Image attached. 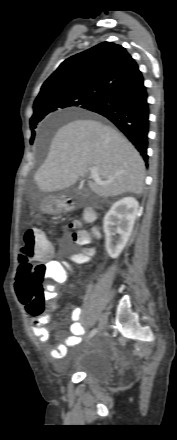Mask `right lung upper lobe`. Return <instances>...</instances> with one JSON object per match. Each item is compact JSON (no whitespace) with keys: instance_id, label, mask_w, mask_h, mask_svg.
<instances>
[{"instance_id":"right-lung-upper-lobe-1","label":"right lung upper lobe","mask_w":177,"mask_h":440,"mask_svg":"<svg viewBox=\"0 0 177 440\" xmlns=\"http://www.w3.org/2000/svg\"><path fill=\"white\" fill-rule=\"evenodd\" d=\"M139 73L137 63L125 48L103 42L62 62L42 85L34 106L66 92L104 96Z\"/></svg>"}]
</instances>
